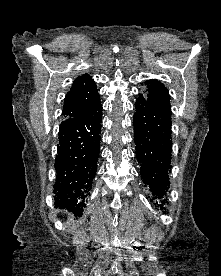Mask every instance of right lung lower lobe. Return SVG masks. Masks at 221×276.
<instances>
[{
	"label": "right lung lower lobe",
	"mask_w": 221,
	"mask_h": 276,
	"mask_svg": "<svg viewBox=\"0 0 221 276\" xmlns=\"http://www.w3.org/2000/svg\"><path fill=\"white\" fill-rule=\"evenodd\" d=\"M102 112L99 101L85 115L60 124L54 183L55 206L81 216L96 175Z\"/></svg>",
	"instance_id": "right-lung-lower-lobe-1"
}]
</instances>
